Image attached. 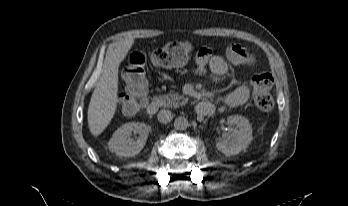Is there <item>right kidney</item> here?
Returning <instances> with one entry per match:
<instances>
[{
	"instance_id": "obj_1",
	"label": "right kidney",
	"mask_w": 348,
	"mask_h": 206,
	"mask_svg": "<svg viewBox=\"0 0 348 206\" xmlns=\"http://www.w3.org/2000/svg\"><path fill=\"white\" fill-rule=\"evenodd\" d=\"M132 131L139 134L136 141L130 138ZM150 127L144 123L129 122L119 127L108 142L111 152L119 157H133L145 146Z\"/></svg>"
}]
</instances>
